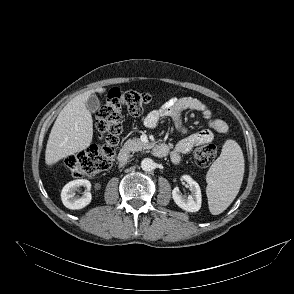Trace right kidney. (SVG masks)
<instances>
[{"instance_id":"obj_1","label":"right kidney","mask_w":294,"mask_h":294,"mask_svg":"<svg viewBox=\"0 0 294 294\" xmlns=\"http://www.w3.org/2000/svg\"><path fill=\"white\" fill-rule=\"evenodd\" d=\"M80 186H84L87 188V191L84 193V195L80 198L75 197V192L77 188ZM91 188V183L86 179H77L70 181L67 183L61 192V199L62 203L65 207L72 209V210H78L86 207L92 200V195L89 192Z\"/></svg>"}]
</instances>
